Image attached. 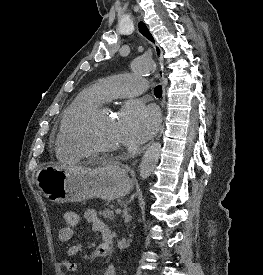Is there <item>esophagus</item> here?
Instances as JSON below:
<instances>
[{
  "label": "esophagus",
  "instance_id": "1",
  "mask_svg": "<svg viewBox=\"0 0 263 275\" xmlns=\"http://www.w3.org/2000/svg\"><path fill=\"white\" fill-rule=\"evenodd\" d=\"M138 33L143 36L154 48L155 56L158 61V77L162 83L163 87V94H162V101L161 105L164 107L165 105V97H166V86H167V78L165 77V70H164V58H163V51L160 46L157 44L154 36L150 32L149 28L144 22H139L137 25ZM162 122V120H161ZM161 122L159 129L161 128ZM158 129V131H159Z\"/></svg>",
  "mask_w": 263,
  "mask_h": 275
}]
</instances>
